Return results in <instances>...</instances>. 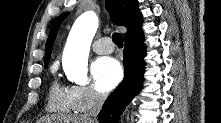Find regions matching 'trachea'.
<instances>
[{
  "mask_svg": "<svg viewBox=\"0 0 221 123\" xmlns=\"http://www.w3.org/2000/svg\"><path fill=\"white\" fill-rule=\"evenodd\" d=\"M113 42L118 46L122 47L123 46V37L120 33H114L113 34Z\"/></svg>",
  "mask_w": 221,
  "mask_h": 123,
  "instance_id": "trachea-1",
  "label": "trachea"
}]
</instances>
